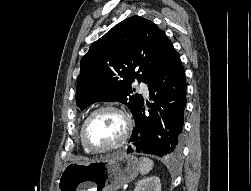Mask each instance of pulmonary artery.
Listing matches in <instances>:
<instances>
[{
	"instance_id": "e3ab8cb5",
	"label": "pulmonary artery",
	"mask_w": 251,
	"mask_h": 191,
	"mask_svg": "<svg viewBox=\"0 0 251 191\" xmlns=\"http://www.w3.org/2000/svg\"><path fill=\"white\" fill-rule=\"evenodd\" d=\"M139 88H140V91L145 94V95H148V87L146 84L144 83H140L139 84Z\"/></svg>"
}]
</instances>
